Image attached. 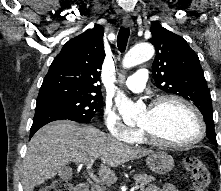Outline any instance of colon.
Segmentation results:
<instances>
[{"instance_id":"5ec220e1","label":"colon","mask_w":221,"mask_h":191,"mask_svg":"<svg viewBox=\"0 0 221 191\" xmlns=\"http://www.w3.org/2000/svg\"><path fill=\"white\" fill-rule=\"evenodd\" d=\"M183 163L192 179L189 191H212L207 189L211 174L203 160L195 156H189L184 159ZM72 187L73 183L70 179H57L42 191H72Z\"/></svg>"}]
</instances>
